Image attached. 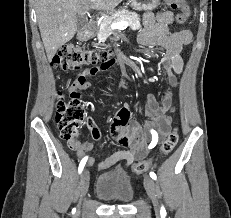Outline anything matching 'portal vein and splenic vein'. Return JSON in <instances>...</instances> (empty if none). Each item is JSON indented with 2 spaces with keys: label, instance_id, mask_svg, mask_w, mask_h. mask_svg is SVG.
<instances>
[{
  "label": "portal vein and splenic vein",
  "instance_id": "portal-vein-and-splenic-vein-1",
  "mask_svg": "<svg viewBox=\"0 0 231 218\" xmlns=\"http://www.w3.org/2000/svg\"><path fill=\"white\" fill-rule=\"evenodd\" d=\"M129 24L127 21H121V22H118V23H112L111 24V27L112 28H124V27H127Z\"/></svg>",
  "mask_w": 231,
  "mask_h": 218
}]
</instances>
